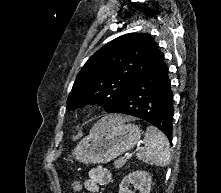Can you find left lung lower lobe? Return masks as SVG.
Returning <instances> with one entry per match:
<instances>
[{
    "label": "left lung lower lobe",
    "instance_id": "left-lung-lower-lobe-1",
    "mask_svg": "<svg viewBox=\"0 0 221 193\" xmlns=\"http://www.w3.org/2000/svg\"><path fill=\"white\" fill-rule=\"evenodd\" d=\"M164 55L140 74L126 95L108 113H123L141 118L161 130L171 142L173 93Z\"/></svg>",
    "mask_w": 221,
    "mask_h": 193
}]
</instances>
